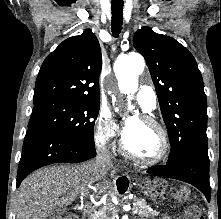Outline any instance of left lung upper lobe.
<instances>
[{
    "instance_id": "5c2ea615",
    "label": "left lung upper lobe",
    "mask_w": 221,
    "mask_h": 219,
    "mask_svg": "<svg viewBox=\"0 0 221 219\" xmlns=\"http://www.w3.org/2000/svg\"><path fill=\"white\" fill-rule=\"evenodd\" d=\"M146 60L171 144L169 160L193 146H207V100L202 75L193 55L174 38L149 27L133 38Z\"/></svg>"
}]
</instances>
